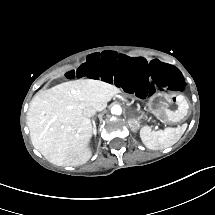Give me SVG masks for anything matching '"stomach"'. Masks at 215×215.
<instances>
[{
	"label": "stomach",
	"mask_w": 215,
	"mask_h": 215,
	"mask_svg": "<svg viewBox=\"0 0 215 215\" xmlns=\"http://www.w3.org/2000/svg\"><path fill=\"white\" fill-rule=\"evenodd\" d=\"M150 112L160 121L179 123L187 118L189 105L185 97L175 93H158L148 103ZM139 118H132L130 125L136 129Z\"/></svg>",
	"instance_id": "1"
}]
</instances>
